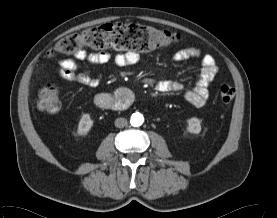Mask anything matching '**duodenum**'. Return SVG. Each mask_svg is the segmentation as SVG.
Returning <instances> with one entry per match:
<instances>
[{
  "instance_id": "obj_1",
  "label": "duodenum",
  "mask_w": 277,
  "mask_h": 218,
  "mask_svg": "<svg viewBox=\"0 0 277 218\" xmlns=\"http://www.w3.org/2000/svg\"><path fill=\"white\" fill-rule=\"evenodd\" d=\"M132 102L133 97L130 92H125L116 97H111L105 93H99L95 97V103L98 107L111 111L126 109Z\"/></svg>"
}]
</instances>
